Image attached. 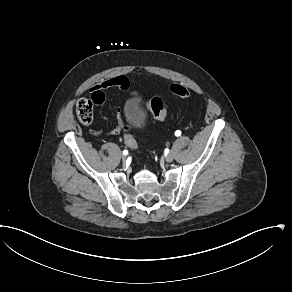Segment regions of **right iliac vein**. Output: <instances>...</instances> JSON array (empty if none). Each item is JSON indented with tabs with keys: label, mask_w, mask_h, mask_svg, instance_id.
Listing matches in <instances>:
<instances>
[{
	"label": "right iliac vein",
	"mask_w": 292,
	"mask_h": 292,
	"mask_svg": "<svg viewBox=\"0 0 292 292\" xmlns=\"http://www.w3.org/2000/svg\"><path fill=\"white\" fill-rule=\"evenodd\" d=\"M122 159L125 160L126 159V156L125 155H122Z\"/></svg>",
	"instance_id": "right-iliac-vein-1"
}]
</instances>
